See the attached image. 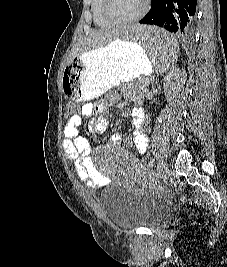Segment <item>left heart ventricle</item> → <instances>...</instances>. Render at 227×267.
Here are the masks:
<instances>
[{
  "label": "left heart ventricle",
  "instance_id": "left-heart-ventricle-1",
  "mask_svg": "<svg viewBox=\"0 0 227 267\" xmlns=\"http://www.w3.org/2000/svg\"><path fill=\"white\" fill-rule=\"evenodd\" d=\"M144 0H109V11L117 18H129L142 9Z\"/></svg>",
  "mask_w": 227,
  "mask_h": 267
}]
</instances>
